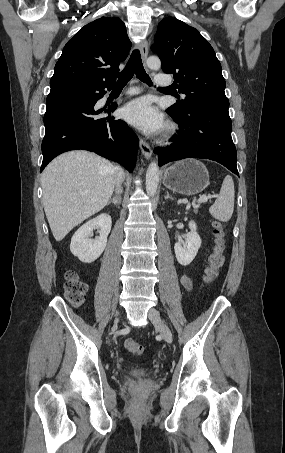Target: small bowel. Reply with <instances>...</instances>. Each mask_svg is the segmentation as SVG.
I'll return each mask as SVG.
<instances>
[{"label": "small bowel", "mask_w": 285, "mask_h": 453, "mask_svg": "<svg viewBox=\"0 0 285 453\" xmlns=\"http://www.w3.org/2000/svg\"><path fill=\"white\" fill-rule=\"evenodd\" d=\"M181 284L187 291H190L192 289V280L188 274L182 275Z\"/></svg>", "instance_id": "c3829d8e"}]
</instances>
